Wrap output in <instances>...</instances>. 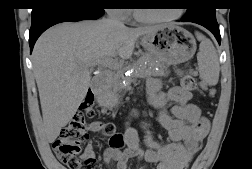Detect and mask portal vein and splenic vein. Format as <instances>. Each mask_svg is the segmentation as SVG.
<instances>
[{
    "label": "portal vein and splenic vein",
    "instance_id": "portal-vein-and-splenic-vein-1",
    "mask_svg": "<svg viewBox=\"0 0 252 169\" xmlns=\"http://www.w3.org/2000/svg\"><path fill=\"white\" fill-rule=\"evenodd\" d=\"M98 65L101 66H106L112 69H118L119 68V63L115 60H113L111 57L104 58L102 60H99L97 62Z\"/></svg>",
    "mask_w": 252,
    "mask_h": 169
}]
</instances>
